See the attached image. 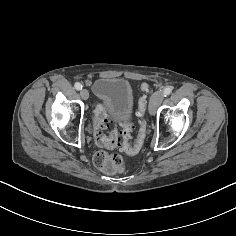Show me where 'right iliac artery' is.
<instances>
[{
	"mask_svg": "<svg viewBox=\"0 0 236 236\" xmlns=\"http://www.w3.org/2000/svg\"><path fill=\"white\" fill-rule=\"evenodd\" d=\"M75 89L76 90H81L82 89V85L80 83H76L75 84Z\"/></svg>",
	"mask_w": 236,
	"mask_h": 236,
	"instance_id": "1",
	"label": "right iliac artery"
}]
</instances>
